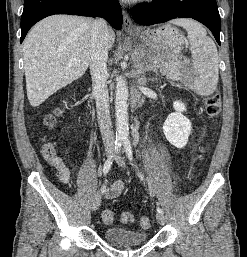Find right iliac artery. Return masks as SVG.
I'll return each instance as SVG.
<instances>
[{
  "mask_svg": "<svg viewBox=\"0 0 247 257\" xmlns=\"http://www.w3.org/2000/svg\"><path fill=\"white\" fill-rule=\"evenodd\" d=\"M121 145H122V140L121 139H116L115 141V151H114V154H112L105 162L104 164V167H103V173H104V176H106V174L109 172V170L111 169L112 167V164H113V160H114V157H115V154L119 152L120 148H121ZM106 190V186L105 184L101 187V192L104 193Z\"/></svg>",
  "mask_w": 247,
  "mask_h": 257,
  "instance_id": "right-iliac-artery-1",
  "label": "right iliac artery"
}]
</instances>
